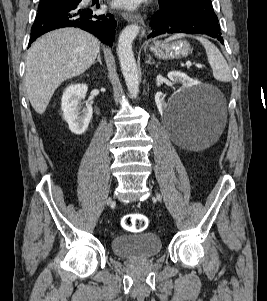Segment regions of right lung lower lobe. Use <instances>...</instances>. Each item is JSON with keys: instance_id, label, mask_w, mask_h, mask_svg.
I'll list each match as a JSON object with an SVG mask.
<instances>
[{"instance_id": "98d812e1", "label": "right lung lower lobe", "mask_w": 267, "mask_h": 301, "mask_svg": "<svg viewBox=\"0 0 267 301\" xmlns=\"http://www.w3.org/2000/svg\"><path fill=\"white\" fill-rule=\"evenodd\" d=\"M81 1L70 0L39 12L31 29L29 46L42 34L61 27H80L112 46L116 27L113 15L96 13L95 8L83 6Z\"/></svg>"}]
</instances>
